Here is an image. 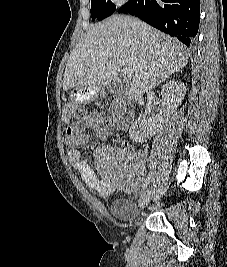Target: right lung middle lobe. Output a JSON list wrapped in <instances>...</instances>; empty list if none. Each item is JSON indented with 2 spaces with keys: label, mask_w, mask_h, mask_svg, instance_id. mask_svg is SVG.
<instances>
[{
  "label": "right lung middle lobe",
  "mask_w": 227,
  "mask_h": 267,
  "mask_svg": "<svg viewBox=\"0 0 227 267\" xmlns=\"http://www.w3.org/2000/svg\"><path fill=\"white\" fill-rule=\"evenodd\" d=\"M118 8L110 0H91V17L101 21L116 12Z\"/></svg>",
  "instance_id": "dd1d6c3e"
}]
</instances>
